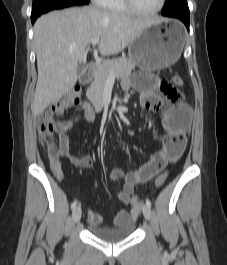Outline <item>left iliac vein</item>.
I'll return each instance as SVG.
<instances>
[{"label":"left iliac vein","instance_id":"left-iliac-vein-1","mask_svg":"<svg viewBox=\"0 0 227 265\" xmlns=\"http://www.w3.org/2000/svg\"><path fill=\"white\" fill-rule=\"evenodd\" d=\"M142 212L146 220H150L151 218V210L150 207L147 204H144L142 206Z\"/></svg>","mask_w":227,"mask_h":265}]
</instances>
